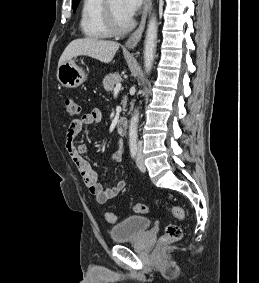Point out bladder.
Instances as JSON below:
<instances>
[{"instance_id":"bladder-1","label":"bladder","mask_w":259,"mask_h":283,"mask_svg":"<svg viewBox=\"0 0 259 283\" xmlns=\"http://www.w3.org/2000/svg\"><path fill=\"white\" fill-rule=\"evenodd\" d=\"M151 221L143 216H129L114 225L111 229L113 242H123L137 238L140 234L149 230Z\"/></svg>"}]
</instances>
